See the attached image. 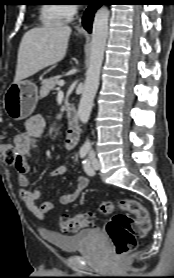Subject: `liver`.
Instances as JSON below:
<instances>
[{
	"mask_svg": "<svg viewBox=\"0 0 174 278\" xmlns=\"http://www.w3.org/2000/svg\"><path fill=\"white\" fill-rule=\"evenodd\" d=\"M70 34L68 25L45 26L27 31L19 45L14 82L31 77L61 61L66 55Z\"/></svg>",
	"mask_w": 174,
	"mask_h": 278,
	"instance_id": "obj_1",
	"label": "liver"
}]
</instances>
